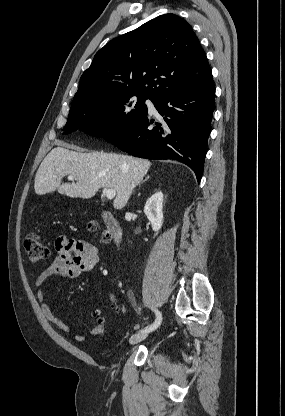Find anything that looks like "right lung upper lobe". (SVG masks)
<instances>
[{
    "label": "right lung upper lobe",
    "instance_id": "1",
    "mask_svg": "<svg viewBox=\"0 0 285 416\" xmlns=\"http://www.w3.org/2000/svg\"><path fill=\"white\" fill-rule=\"evenodd\" d=\"M212 76L191 26L175 14L159 16L108 42L83 73L70 108L126 97L157 102Z\"/></svg>",
    "mask_w": 285,
    "mask_h": 416
}]
</instances>
